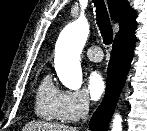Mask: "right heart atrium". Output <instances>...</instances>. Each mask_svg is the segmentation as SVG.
<instances>
[{"label": "right heart atrium", "instance_id": "obj_1", "mask_svg": "<svg viewBox=\"0 0 147 131\" xmlns=\"http://www.w3.org/2000/svg\"><path fill=\"white\" fill-rule=\"evenodd\" d=\"M90 100L84 90L61 91L58 103L59 119L63 122H75L89 110Z\"/></svg>", "mask_w": 147, "mask_h": 131}]
</instances>
